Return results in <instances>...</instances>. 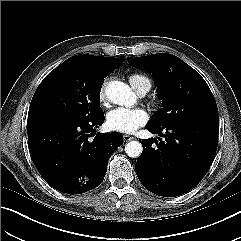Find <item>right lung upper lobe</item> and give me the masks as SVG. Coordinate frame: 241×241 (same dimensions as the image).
Segmentation results:
<instances>
[{"label":"right lung upper lobe","instance_id":"1","mask_svg":"<svg viewBox=\"0 0 241 241\" xmlns=\"http://www.w3.org/2000/svg\"><path fill=\"white\" fill-rule=\"evenodd\" d=\"M75 61L80 70L101 76H108L123 62L117 58L93 56L88 54H79L70 57Z\"/></svg>","mask_w":241,"mask_h":241}]
</instances>
